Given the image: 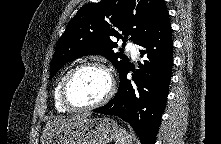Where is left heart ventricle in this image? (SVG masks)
I'll list each match as a JSON object with an SVG mask.
<instances>
[{
    "label": "left heart ventricle",
    "mask_w": 221,
    "mask_h": 144,
    "mask_svg": "<svg viewBox=\"0 0 221 144\" xmlns=\"http://www.w3.org/2000/svg\"><path fill=\"white\" fill-rule=\"evenodd\" d=\"M109 79L98 68H85L72 79L68 97L75 105H89L100 100L108 91Z\"/></svg>",
    "instance_id": "left-heart-ventricle-1"
}]
</instances>
